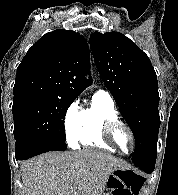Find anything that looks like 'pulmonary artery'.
Wrapping results in <instances>:
<instances>
[{"instance_id":"obj_1","label":"pulmonary artery","mask_w":178,"mask_h":195,"mask_svg":"<svg viewBox=\"0 0 178 195\" xmlns=\"http://www.w3.org/2000/svg\"><path fill=\"white\" fill-rule=\"evenodd\" d=\"M97 93L105 94V95H107L108 97L111 98L110 94L105 90H99Z\"/></svg>"}]
</instances>
